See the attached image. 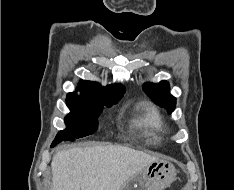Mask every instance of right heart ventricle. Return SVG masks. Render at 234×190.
I'll use <instances>...</instances> for the list:
<instances>
[{
    "label": "right heart ventricle",
    "mask_w": 234,
    "mask_h": 190,
    "mask_svg": "<svg viewBox=\"0 0 234 190\" xmlns=\"http://www.w3.org/2000/svg\"><path fill=\"white\" fill-rule=\"evenodd\" d=\"M138 109L140 115L133 121L136 127L162 131L163 125L157 110L153 106L147 103H141L138 105Z\"/></svg>",
    "instance_id": "e07e8e85"
}]
</instances>
